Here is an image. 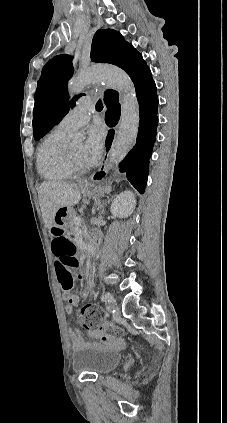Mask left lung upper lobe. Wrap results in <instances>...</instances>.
I'll return each mask as SVG.
<instances>
[{
  "label": "left lung upper lobe",
  "mask_w": 227,
  "mask_h": 423,
  "mask_svg": "<svg viewBox=\"0 0 227 423\" xmlns=\"http://www.w3.org/2000/svg\"><path fill=\"white\" fill-rule=\"evenodd\" d=\"M91 59L94 62L114 64L125 70L135 86L150 73L142 55L122 36L111 29L98 30L94 35ZM73 74L72 58L59 55L51 59L43 68L35 93L33 109L34 139L39 140L47 134L75 105L83 94L68 101L67 82ZM118 92L107 90L104 103L109 109L118 103Z\"/></svg>",
  "instance_id": "left-lung-upper-lobe-1"
}]
</instances>
